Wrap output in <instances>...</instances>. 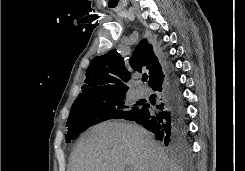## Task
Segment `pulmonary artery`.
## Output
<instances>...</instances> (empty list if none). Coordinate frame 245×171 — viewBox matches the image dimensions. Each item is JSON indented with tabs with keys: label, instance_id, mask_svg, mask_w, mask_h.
I'll return each instance as SVG.
<instances>
[{
	"label": "pulmonary artery",
	"instance_id": "pulmonary-artery-1",
	"mask_svg": "<svg viewBox=\"0 0 245 171\" xmlns=\"http://www.w3.org/2000/svg\"><path fill=\"white\" fill-rule=\"evenodd\" d=\"M135 93L136 95L141 98V97H144L148 94V91L146 88H144L143 86H138L136 89H135Z\"/></svg>",
	"mask_w": 245,
	"mask_h": 171
}]
</instances>
